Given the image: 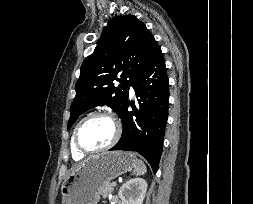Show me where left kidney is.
Returning <instances> with one entry per match:
<instances>
[{
	"label": "left kidney",
	"mask_w": 253,
	"mask_h": 204,
	"mask_svg": "<svg viewBox=\"0 0 253 204\" xmlns=\"http://www.w3.org/2000/svg\"><path fill=\"white\" fill-rule=\"evenodd\" d=\"M147 191V183L142 178L130 179L119 189L122 204H142Z\"/></svg>",
	"instance_id": "left-kidney-1"
}]
</instances>
